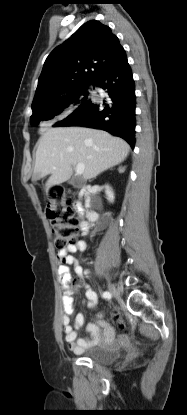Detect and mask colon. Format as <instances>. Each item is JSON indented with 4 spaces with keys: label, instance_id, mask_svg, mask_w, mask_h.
I'll list each match as a JSON object with an SVG mask.
<instances>
[{
    "label": "colon",
    "instance_id": "1",
    "mask_svg": "<svg viewBox=\"0 0 187 415\" xmlns=\"http://www.w3.org/2000/svg\"><path fill=\"white\" fill-rule=\"evenodd\" d=\"M50 198L47 214L55 235V245L60 250L75 242L80 232L81 222L74 213L68 195L62 186H53L50 190ZM116 320L120 329L125 331L126 324L119 315H116Z\"/></svg>",
    "mask_w": 187,
    "mask_h": 415
}]
</instances>
